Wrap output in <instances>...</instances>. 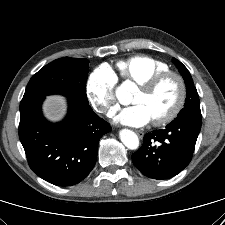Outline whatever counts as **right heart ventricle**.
<instances>
[{
  "label": "right heart ventricle",
  "mask_w": 225,
  "mask_h": 225,
  "mask_svg": "<svg viewBox=\"0 0 225 225\" xmlns=\"http://www.w3.org/2000/svg\"><path fill=\"white\" fill-rule=\"evenodd\" d=\"M116 68L124 81L135 84L168 70L165 63L145 55H135L118 61Z\"/></svg>",
  "instance_id": "obj_1"
}]
</instances>
